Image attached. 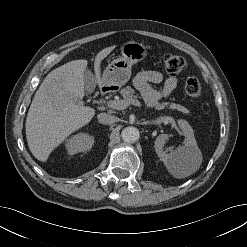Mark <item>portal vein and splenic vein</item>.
Returning a JSON list of instances; mask_svg holds the SVG:
<instances>
[{"label": "portal vein and splenic vein", "mask_w": 247, "mask_h": 247, "mask_svg": "<svg viewBox=\"0 0 247 247\" xmlns=\"http://www.w3.org/2000/svg\"><path fill=\"white\" fill-rule=\"evenodd\" d=\"M130 104H133L135 106L140 105V103L138 101L133 102V103H128L125 100H110L107 102L108 107L113 108V109H117V110H123Z\"/></svg>", "instance_id": "portal-vein-and-splenic-vein-1"}]
</instances>
